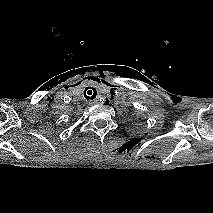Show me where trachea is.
Segmentation results:
<instances>
[{
    "label": "trachea",
    "instance_id": "1",
    "mask_svg": "<svg viewBox=\"0 0 213 213\" xmlns=\"http://www.w3.org/2000/svg\"><path fill=\"white\" fill-rule=\"evenodd\" d=\"M88 89V90H87ZM87 93L85 92L84 96L87 100H93L97 96V91L93 87L87 88Z\"/></svg>",
    "mask_w": 213,
    "mask_h": 213
}]
</instances>
